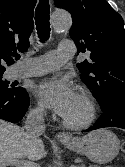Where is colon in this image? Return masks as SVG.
<instances>
[{
  "instance_id": "5ec220e1",
  "label": "colon",
  "mask_w": 125,
  "mask_h": 167,
  "mask_svg": "<svg viewBox=\"0 0 125 167\" xmlns=\"http://www.w3.org/2000/svg\"><path fill=\"white\" fill-rule=\"evenodd\" d=\"M122 152H123V154L125 155V142L123 143V145H122ZM125 167V166H124Z\"/></svg>"
}]
</instances>
